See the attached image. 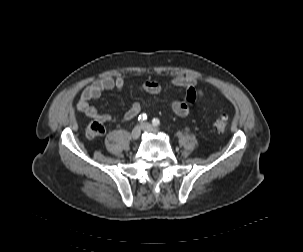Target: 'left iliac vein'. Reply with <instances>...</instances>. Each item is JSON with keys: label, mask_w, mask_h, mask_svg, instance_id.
Segmentation results:
<instances>
[{"label": "left iliac vein", "mask_w": 303, "mask_h": 252, "mask_svg": "<svg viewBox=\"0 0 303 252\" xmlns=\"http://www.w3.org/2000/svg\"><path fill=\"white\" fill-rule=\"evenodd\" d=\"M141 128L143 131L150 133H157L159 131L157 128L153 127L151 124L146 122L141 124Z\"/></svg>", "instance_id": "left-iliac-vein-1"}]
</instances>
